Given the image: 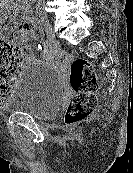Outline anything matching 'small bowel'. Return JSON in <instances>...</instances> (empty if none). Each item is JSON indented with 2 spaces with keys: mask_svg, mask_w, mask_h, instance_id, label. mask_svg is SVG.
Here are the masks:
<instances>
[{
  "mask_svg": "<svg viewBox=\"0 0 133 173\" xmlns=\"http://www.w3.org/2000/svg\"><path fill=\"white\" fill-rule=\"evenodd\" d=\"M29 23L32 25L33 28L36 27V22L33 18H30L29 19ZM30 29L29 32L27 33L29 38H34L35 37V31L34 29ZM19 50L22 52V55H26L27 57L30 56V52H31V48H30V45L28 43V37L27 36H24L20 39V42H19ZM50 57H57L60 55V52H59V48L58 46H55L53 48V50H51L48 54Z\"/></svg>",
  "mask_w": 133,
  "mask_h": 173,
  "instance_id": "small-bowel-1",
  "label": "small bowel"
}]
</instances>
